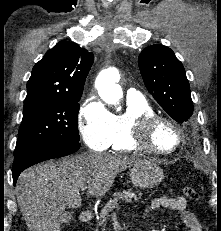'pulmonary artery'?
Returning a JSON list of instances; mask_svg holds the SVG:
<instances>
[{
	"instance_id": "1",
	"label": "pulmonary artery",
	"mask_w": 221,
	"mask_h": 231,
	"mask_svg": "<svg viewBox=\"0 0 221 231\" xmlns=\"http://www.w3.org/2000/svg\"><path fill=\"white\" fill-rule=\"evenodd\" d=\"M127 97L128 99H142L143 98L142 94L134 88L127 90Z\"/></svg>"
}]
</instances>
